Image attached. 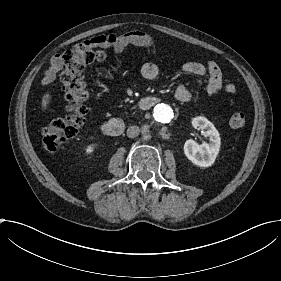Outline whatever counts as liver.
<instances>
[{
  "label": "liver",
  "mask_w": 281,
  "mask_h": 281,
  "mask_svg": "<svg viewBox=\"0 0 281 281\" xmlns=\"http://www.w3.org/2000/svg\"><path fill=\"white\" fill-rule=\"evenodd\" d=\"M50 95L47 93L42 98V107L46 108L47 104L49 103Z\"/></svg>",
  "instance_id": "1"
}]
</instances>
